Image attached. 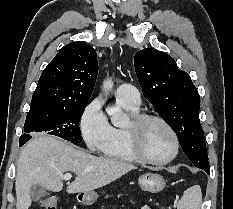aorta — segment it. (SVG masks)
<instances>
[{
    "label": "aorta",
    "mask_w": 233,
    "mask_h": 209,
    "mask_svg": "<svg viewBox=\"0 0 233 209\" xmlns=\"http://www.w3.org/2000/svg\"><path fill=\"white\" fill-rule=\"evenodd\" d=\"M113 87L111 79H107L103 83V90L109 91ZM107 114L110 116L111 122L116 127H122L128 122L127 115L118 107H108L106 109Z\"/></svg>",
    "instance_id": "762f6f07"
}]
</instances>
